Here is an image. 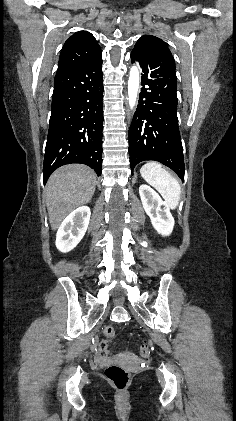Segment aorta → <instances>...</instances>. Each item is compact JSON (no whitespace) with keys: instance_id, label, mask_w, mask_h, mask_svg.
Here are the masks:
<instances>
[{"instance_id":"1","label":"aorta","mask_w":236,"mask_h":421,"mask_svg":"<svg viewBox=\"0 0 236 421\" xmlns=\"http://www.w3.org/2000/svg\"><path fill=\"white\" fill-rule=\"evenodd\" d=\"M139 84L140 70L138 66H131L128 78V96L130 108H134V106H136Z\"/></svg>"}]
</instances>
